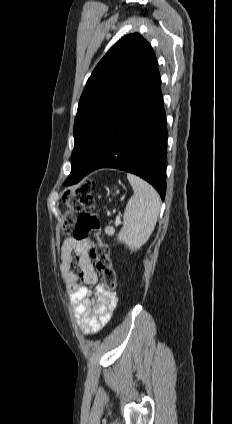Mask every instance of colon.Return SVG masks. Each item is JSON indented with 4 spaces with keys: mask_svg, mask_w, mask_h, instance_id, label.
<instances>
[{
    "mask_svg": "<svg viewBox=\"0 0 232 424\" xmlns=\"http://www.w3.org/2000/svg\"><path fill=\"white\" fill-rule=\"evenodd\" d=\"M94 183L86 180L74 189H68L63 195L64 216L62 233L73 231L79 241L89 246L90 256L96 261L97 269L102 273L107 290H114L117 275L107 245L101 239V221L96 212L86 211L94 203Z\"/></svg>",
    "mask_w": 232,
    "mask_h": 424,
    "instance_id": "1",
    "label": "colon"
}]
</instances>
